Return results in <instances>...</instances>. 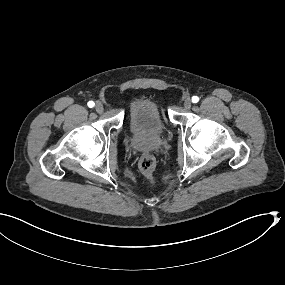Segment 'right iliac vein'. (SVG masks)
Segmentation results:
<instances>
[{"label": "right iliac vein", "mask_w": 285, "mask_h": 285, "mask_svg": "<svg viewBox=\"0 0 285 285\" xmlns=\"http://www.w3.org/2000/svg\"><path fill=\"white\" fill-rule=\"evenodd\" d=\"M95 109L97 113H102L104 111V107L100 102H97Z\"/></svg>", "instance_id": "1"}]
</instances>
